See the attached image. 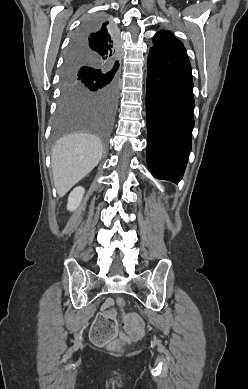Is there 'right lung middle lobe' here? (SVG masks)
I'll return each mask as SVG.
<instances>
[{
    "label": "right lung middle lobe",
    "instance_id": "obj_1",
    "mask_svg": "<svg viewBox=\"0 0 248 389\" xmlns=\"http://www.w3.org/2000/svg\"><path fill=\"white\" fill-rule=\"evenodd\" d=\"M104 16L85 20L71 44L98 30ZM116 71L88 54L70 48L62 71V95L59 101L53 141L74 131H88L99 136L104 146L117 105Z\"/></svg>",
    "mask_w": 248,
    "mask_h": 389
}]
</instances>
